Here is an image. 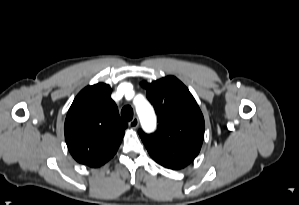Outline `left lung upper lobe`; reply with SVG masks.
Returning a JSON list of instances; mask_svg holds the SVG:
<instances>
[{"mask_svg": "<svg viewBox=\"0 0 299 205\" xmlns=\"http://www.w3.org/2000/svg\"><path fill=\"white\" fill-rule=\"evenodd\" d=\"M158 115L152 134L138 131L143 143L185 142L202 145L205 123L199 106L186 86L173 76L142 82Z\"/></svg>", "mask_w": 299, "mask_h": 205, "instance_id": "5c2ea615", "label": "left lung upper lobe"}]
</instances>
